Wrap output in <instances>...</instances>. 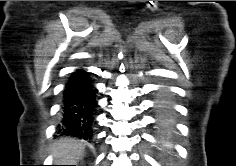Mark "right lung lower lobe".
<instances>
[{
	"label": "right lung lower lobe",
	"mask_w": 236,
	"mask_h": 166,
	"mask_svg": "<svg viewBox=\"0 0 236 166\" xmlns=\"http://www.w3.org/2000/svg\"><path fill=\"white\" fill-rule=\"evenodd\" d=\"M97 89L90 74L78 69L70 76L63 91L58 132L87 141L92 140L95 124Z\"/></svg>",
	"instance_id": "obj_1"
}]
</instances>
